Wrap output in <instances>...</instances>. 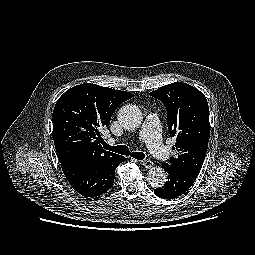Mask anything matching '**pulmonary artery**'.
Instances as JSON below:
<instances>
[{
  "instance_id": "e3ab8cb5",
  "label": "pulmonary artery",
  "mask_w": 255,
  "mask_h": 255,
  "mask_svg": "<svg viewBox=\"0 0 255 255\" xmlns=\"http://www.w3.org/2000/svg\"><path fill=\"white\" fill-rule=\"evenodd\" d=\"M138 137L158 158L165 159L169 156V150L161 140L160 119L157 114L150 113L145 118ZM114 142V139H110V143Z\"/></svg>"
}]
</instances>
